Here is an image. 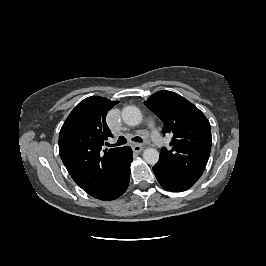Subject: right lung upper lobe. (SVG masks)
<instances>
[{
    "mask_svg": "<svg viewBox=\"0 0 266 266\" xmlns=\"http://www.w3.org/2000/svg\"><path fill=\"white\" fill-rule=\"evenodd\" d=\"M117 103L100 96L84 99L69 114L59 134V154L66 169L95 198L109 189L127 150H102L112 136L106 114Z\"/></svg>",
    "mask_w": 266,
    "mask_h": 266,
    "instance_id": "1",
    "label": "right lung upper lobe"
}]
</instances>
